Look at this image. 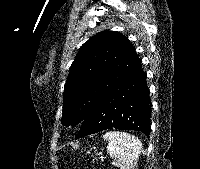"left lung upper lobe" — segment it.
<instances>
[{"label": "left lung upper lobe", "instance_id": "obj_1", "mask_svg": "<svg viewBox=\"0 0 200 169\" xmlns=\"http://www.w3.org/2000/svg\"><path fill=\"white\" fill-rule=\"evenodd\" d=\"M141 65L134 47L123 35L103 31L78 51L65 83L62 124L84 120L98 101L120 86Z\"/></svg>", "mask_w": 200, "mask_h": 169}]
</instances>
